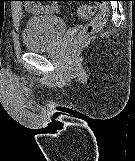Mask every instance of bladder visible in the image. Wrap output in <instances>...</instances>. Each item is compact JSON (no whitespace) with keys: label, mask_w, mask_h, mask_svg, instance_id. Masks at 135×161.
I'll use <instances>...</instances> for the list:
<instances>
[{"label":"bladder","mask_w":135,"mask_h":161,"mask_svg":"<svg viewBox=\"0 0 135 161\" xmlns=\"http://www.w3.org/2000/svg\"><path fill=\"white\" fill-rule=\"evenodd\" d=\"M65 30L66 25L61 17H30L22 33L23 44L33 52L50 50L56 46Z\"/></svg>","instance_id":"bladder-1"}]
</instances>
